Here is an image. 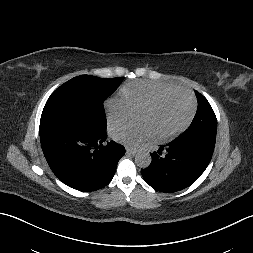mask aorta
Masks as SVG:
<instances>
[{"mask_svg":"<svg viewBox=\"0 0 253 253\" xmlns=\"http://www.w3.org/2000/svg\"><path fill=\"white\" fill-rule=\"evenodd\" d=\"M151 155L145 150H139L135 155V163L140 168H147L151 164Z\"/></svg>","mask_w":253,"mask_h":253,"instance_id":"1","label":"aorta"}]
</instances>
